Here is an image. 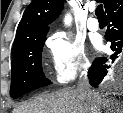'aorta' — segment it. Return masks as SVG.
<instances>
[{
	"instance_id": "762f6f07",
	"label": "aorta",
	"mask_w": 123,
	"mask_h": 113,
	"mask_svg": "<svg viewBox=\"0 0 123 113\" xmlns=\"http://www.w3.org/2000/svg\"><path fill=\"white\" fill-rule=\"evenodd\" d=\"M71 22H72V17H71V15L70 14H66L65 15V18H64V23H65V25H70L71 24Z\"/></svg>"
}]
</instances>
